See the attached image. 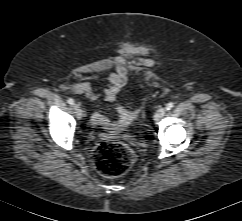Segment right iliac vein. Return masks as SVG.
<instances>
[{
  "mask_svg": "<svg viewBox=\"0 0 242 221\" xmlns=\"http://www.w3.org/2000/svg\"><path fill=\"white\" fill-rule=\"evenodd\" d=\"M74 110H75L76 116L78 118H80L82 116V111H81V108L78 104L74 105Z\"/></svg>",
  "mask_w": 242,
  "mask_h": 221,
  "instance_id": "63e3f726",
  "label": "right iliac vein"
}]
</instances>
